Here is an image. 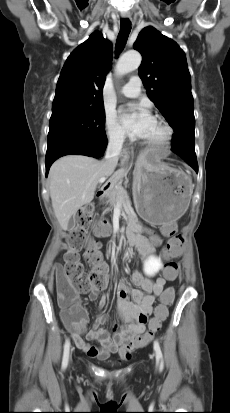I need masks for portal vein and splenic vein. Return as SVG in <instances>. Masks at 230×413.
I'll list each match as a JSON object with an SVG mask.
<instances>
[{
  "instance_id": "portal-vein-and-splenic-vein-1",
  "label": "portal vein and splenic vein",
  "mask_w": 230,
  "mask_h": 413,
  "mask_svg": "<svg viewBox=\"0 0 230 413\" xmlns=\"http://www.w3.org/2000/svg\"><path fill=\"white\" fill-rule=\"evenodd\" d=\"M105 180H106V177H102V178L99 179V183H103V182H105Z\"/></svg>"
}]
</instances>
